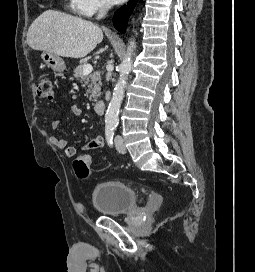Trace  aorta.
<instances>
[{
  "label": "aorta",
  "instance_id": "aorta-1",
  "mask_svg": "<svg viewBox=\"0 0 255 272\" xmlns=\"http://www.w3.org/2000/svg\"><path fill=\"white\" fill-rule=\"evenodd\" d=\"M136 48L134 39L129 41L127 51L119 65V79L115 85L111 101L105 114L106 129H114L118 125L119 109L124 97L125 88L127 85V76L132 69V55Z\"/></svg>",
  "mask_w": 255,
  "mask_h": 272
}]
</instances>
